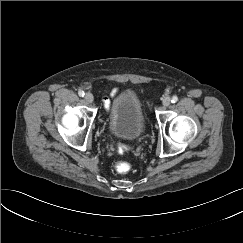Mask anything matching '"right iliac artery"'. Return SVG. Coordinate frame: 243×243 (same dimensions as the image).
<instances>
[{"label": "right iliac artery", "mask_w": 243, "mask_h": 243, "mask_svg": "<svg viewBox=\"0 0 243 243\" xmlns=\"http://www.w3.org/2000/svg\"><path fill=\"white\" fill-rule=\"evenodd\" d=\"M78 94H79L80 97H83V96H84V91H83V90H80V91L78 92Z\"/></svg>", "instance_id": "1"}]
</instances>
